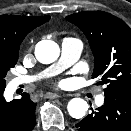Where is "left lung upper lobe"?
<instances>
[{
  "label": "left lung upper lobe",
  "mask_w": 131,
  "mask_h": 131,
  "mask_svg": "<svg viewBox=\"0 0 131 131\" xmlns=\"http://www.w3.org/2000/svg\"><path fill=\"white\" fill-rule=\"evenodd\" d=\"M66 19L86 35L94 55L92 78L106 84L104 95L131 103V29L121 19L102 11H85Z\"/></svg>",
  "instance_id": "left-lung-upper-lobe-1"
}]
</instances>
